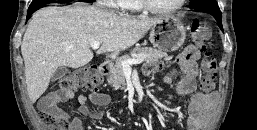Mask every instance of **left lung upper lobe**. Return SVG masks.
<instances>
[{
    "mask_svg": "<svg viewBox=\"0 0 257 130\" xmlns=\"http://www.w3.org/2000/svg\"><path fill=\"white\" fill-rule=\"evenodd\" d=\"M190 8L206 11L210 14H220L216 0H191Z\"/></svg>",
    "mask_w": 257,
    "mask_h": 130,
    "instance_id": "1",
    "label": "left lung upper lobe"
}]
</instances>
